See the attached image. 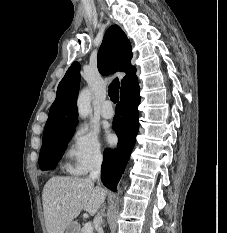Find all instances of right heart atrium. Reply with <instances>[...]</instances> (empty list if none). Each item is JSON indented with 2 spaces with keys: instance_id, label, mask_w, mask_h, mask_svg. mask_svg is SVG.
Masks as SVG:
<instances>
[{
  "instance_id": "d8ad5b80",
  "label": "right heart atrium",
  "mask_w": 227,
  "mask_h": 233,
  "mask_svg": "<svg viewBox=\"0 0 227 233\" xmlns=\"http://www.w3.org/2000/svg\"><path fill=\"white\" fill-rule=\"evenodd\" d=\"M103 159L104 153L97 133L86 126H78L68 141L66 170L75 175H84L99 167Z\"/></svg>"
}]
</instances>
